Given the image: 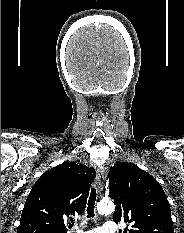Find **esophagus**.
<instances>
[{
  "instance_id": "1",
  "label": "esophagus",
  "mask_w": 184,
  "mask_h": 233,
  "mask_svg": "<svg viewBox=\"0 0 184 233\" xmlns=\"http://www.w3.org/2000/svg\"><path fill=\"white\" fill-rule=\"evenodd\" d=\"M97 189L99 196H102V191L104 187V168L98 167L97 168Z\"/></svg>"
}]
</instances>
